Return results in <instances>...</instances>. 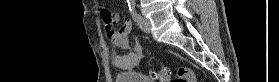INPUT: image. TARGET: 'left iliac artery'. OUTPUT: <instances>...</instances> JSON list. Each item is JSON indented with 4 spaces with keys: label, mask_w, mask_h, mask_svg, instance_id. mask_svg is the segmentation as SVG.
I'll return each instance as SVG.
<instances>
[{
    "label": "left iliac artery",
    "mask_w": 279,
    "mask_h": 82,
    "mask_svg": "<svg viewBox=\"0 0 279 82\" xmlns=\"http://www.w3.org/2000/svg\"><path fill=\"white\" fill-rule=\"evenodd\" d=\"M129 11L132 15L134 21L138 22L141 19V16L136 12L135 9V0H127Z\"/></svg>",
    "instance_id": "44dca946"
}]
</instances>
